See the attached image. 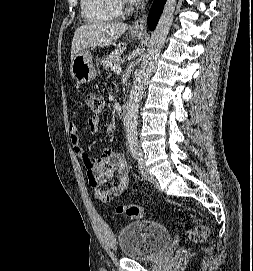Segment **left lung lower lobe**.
<instances>
[{
    "label": "left lung lower lobe",
    "mask_w": 253,
    "mask_h": 271,
    "mask_svg": "<svg viewBox=\"0 0 253 271\" xmlns=\"http://www.w3.org/2000/svg\"><path fill=\"white\" fill-rule=\"evenodd\" d=\"M166 0H154L152 5L151 12L148 17V26L150 30H153L160 18V15L163 11V6Z\"/></svg>",
    "instance_id": "obj_1"
}]
</instances>
